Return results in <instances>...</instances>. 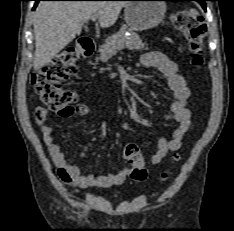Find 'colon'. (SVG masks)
Returning <instances> with one entry per match:
<instances>
[{
	"mask_svg": "<svg viewBox=\"0 0 234 231\" xmlns=\"http://www.w3.org/2000/svg\"><path fill=\"white\" fill-rule=\"evenodd\" d=\"M172 22L184 36L192 54V64L199 67L203 63L201 55L206 25L191 11H179L172 17ZM77 53L74 48H65L43 68L32 74L31 82L40 99L51 109L62 111L72 108L76 102L75 92L63 88L61 82L77 73ZM124 159L132 165L130 176L141 181L147 176L142 154L136 144H127L123 151ZM164 173L163 177H167Z\"/></svg>",
	"mask_w": 234,
	"mask_h": 231,
	"instance_id": "obj_1",
	"label": "colon"
}]
</instances>
